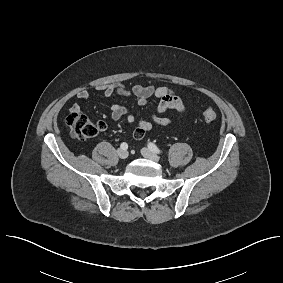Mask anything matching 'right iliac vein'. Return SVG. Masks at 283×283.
I'll return each mask as SVG.
<instances>
[{
	"instance_id": "right-iliac-vein-1",
	"label": "right iliac vein",
	"mask_w": 283,
	"mask_h": 283,
	"mask_svg": "<svg viewBox=\"0 0 283 283\" xmlns=\"http://www.w3.org/2000/svg\"><path fill=\"white\" fill-rule=\"evenodd\" d=\"M117 155L121 158V159H126L128 157V151L127 150H123V149H119L117 151Z\"/></svg>"
}]
</instances>
